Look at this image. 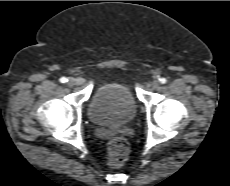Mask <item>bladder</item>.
<instances>
[{"label":"bladder","instance_id":"bladder-1","mask_svg":"<svg viewBox=\"0 0 230 186\" xmlns=\"http://www.w3.org/2000/svg\"><path fill=\"white\" fill-rule=\"evenodd\" d=\"M137 105L130 88L120 82L99 85L93 92L88 116L97 125L119 126L130 122Z\"/></svg>","mask_w":230,"mask_h":186}]
</instances>
